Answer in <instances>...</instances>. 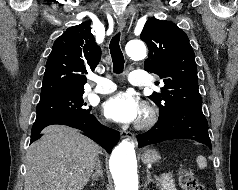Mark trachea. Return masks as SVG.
<instances>
[{
  "label": "trachea",
  "mask_w": 238,
  "mask_h": 190,
  "mask_svg": "<svg viewBox=\"0 0 238 190\" xmlns=\"http://www.w3.org/2000/svg\"><path fill=\"white\" fill-rule=\"evenodd\" d=\"M120 33L116 34L110 41V54L113 62V72L120 74L124 70V57L119 45Z\"/></svg>",
  "instance_id": "trachea-1"
}]
</instances>
